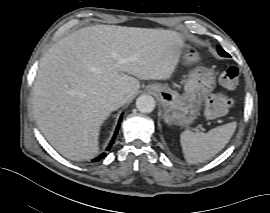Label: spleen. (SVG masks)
I'll return each instance as SVG.
<instances>
[{
  "label": "spleen",
  "instance_id": "3e777b00",
  "mask_svg": "<svg viewBox=\"0 0 270 213\" xmlns=\"http://www.w3.org/2000/svg\"><path fill=\"white\" fill-rule=\"evenodd\" d=\"M237 127L235 121L211 129L207 133L185 130L180 135L184 158L188 163H202L220 152L230 141Z\"/></svg>",
  "mask_w": 270,
  "mask_h": 213
}]
</instances>
